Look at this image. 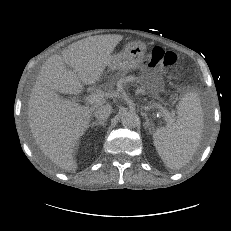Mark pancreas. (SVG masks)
I'll return each instance as SVG.
<instances>
[{
  "label": "pancreas",
  "mask_w": 231,
  "mask_h": 231,
  "mask_svg": "<svg viewBox=\"0 0 231 231\" xmlns=\"http://www.w3.org/2000/svg\"><path fill=\"white\" fill-rule=\"evenodd\" d=\"M133 80H134V77H132V76H124V75H121V76L119 77L118 82H119L120 85H125L126 82L133 81ZM154 106L157 107V106H159V105H158V104H155Z\"/></svg>",
  "instance_id": "cf45deb5"
}]
</instances>
